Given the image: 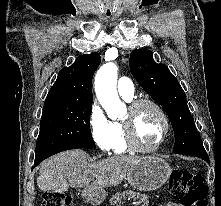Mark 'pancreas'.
<instances>
[{
  "instance_id": "cf45deb5",
  "label": "pancreas",
  "mask_w": 221,
  "mask_h": 206,
  "mask_svg": "<svg viewBox=\"0 0 221 206\" xmlns=\"http://www.w3.org/2000/svg\"><path fill=\"white\" fill-rule=\"evenodd\" d=\"M137 199L135 205L148 206L149 200L148 197L144 194L134 191H124L123 193H116L109 200L111 205L121 206V203H125L127 200Z\"/></svg>"
}]
</instances>
